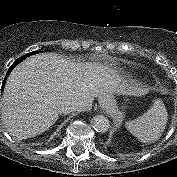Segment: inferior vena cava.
Returning a JSON list of instances; mask_svg holds the SVG:
<instances>
[{
	"label": "inferior vena cava",
	"mask_w": 177,
	"mask_h": 177,
	"mask_svg": "<svg viewBox=\"0 0 177 177\" xmlns=\"http://www.w3.org/2000/svg\"><path fill=\"white\" fill-rule=\"evenodd\" d=\"M79 108V103L73 100H65L59 106V113L67 114L76 111Z\"/></svg>",
	"instance_id": "inferior-vena-cava-1"
}]
</instances>
